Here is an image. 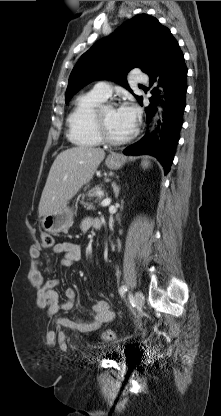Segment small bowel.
Returning a JSON list of instances; mask_svg holds the SVG:
<instances>
[{
	"label": "small bowel",
	"mask_w": 221,
	"mask_h": 416,
	"mask_svg": "<svg viewBox=\"0 0 221 416\" xmlns=\"http://www.w3.org/2000/svg\"><path fill=\"white\" fill-rule=\"evenodd\" d=\"M101 222L98 219L86 218L81 223V230L87 231L90 228L99 229ZM51 251L55 254H62L60 263L64 267H70L77 263L82 256V248L75 242H62L54 245ZM34 264L31 270L30 278L33 284L40 289L38 303L43 305L49 315H55L60 310L68 311L74 306L76 293L74 289L67 288L65 290V299L60 301L56 288L59 286V280L56 278L44 279L40 265V251L35 249L32 251ZM49 261V258L46 257ZM50 271V268L47 269ZM93 317L90 320H82L80 318L69 319L66 317L58 318L57 322L60 326L78 331L80 333H89L99 329L105 323L114 319L115 313L107 300L97 301L92 308Z\"/></svg>",
	"instance_id": "c3829d8e"
}]
</instances>
